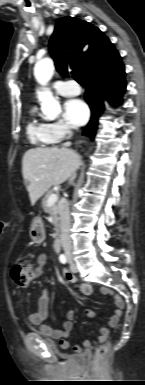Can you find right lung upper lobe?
<instances>
[{"label": "right lung upper lobe", "instance_id": "obj_1", "mask_svg": "<svg viewBox=\"0 0 145 385\" xmlns=\"http://www.w3.org/2000/svg\"><path fill=\"white\" fill-rule=\"evenodd\" d=\"M49 49L56 68L66 74L68 67L86 79L113 69L121 57L109 39L86 21L64 17L57 21Z\"/></svg>", "mask_w": 145, "mask_h": 385}]
</instances>
